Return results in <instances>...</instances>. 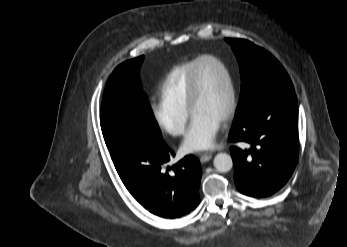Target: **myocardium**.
<instances>
[{
	"label": "myocardium",
	"instance_id": "myocardium-1",
	"mask_svg": "<svg viewBox=\"0 0 347 247\" xmlns=\"http://www.w3.org/2000/svg\"><path fill=\"white\" fill-rule=\"evenodd\" d=\"M204 61H212L221 67L223 72L226 75L228 88H229V102L227 110L222 118V122H227L232 119L235 114L237 107V92L236 86L234 82V78L228 66L222 61L220 58L214 55H203L198 58L196 64L193 66L190 73V80L188 85V93H187V107L190 114L193 115V109L197 102L199 96V80H198V68Z\"/></svg>",
	"mask_w": 347,
	"mask_h": 247
}]
</instances>
